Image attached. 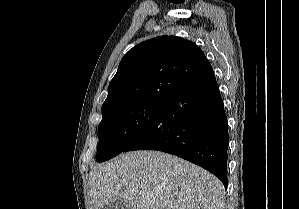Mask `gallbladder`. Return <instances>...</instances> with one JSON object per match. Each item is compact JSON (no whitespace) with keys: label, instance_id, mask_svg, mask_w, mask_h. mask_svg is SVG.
Instances as JSON below:
<instances>
[{"label":"gallbladder","instance_id":"gallbladder-1","mask_svg":"<svg viewBox=\"0 0 299 209\" xmlns=\"http://www.w3.org/2000/svg\"><path fill=\"white\" fill-rule=\"evenodd\" d=\"M103 209H133L132 205L123 199H117L104 206Z\"/></svg>","mask_w":299,"mask_h":209}]
</instances>
